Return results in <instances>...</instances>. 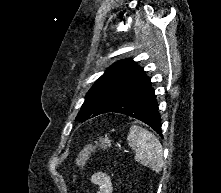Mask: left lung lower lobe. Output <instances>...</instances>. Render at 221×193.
I'll use <instances>...</instances> for the list:
<instances>
[{
    "mask_svg": "<svg viewBox=\"0 0 221 193\" xmlns=\"http://www.w3.org/2000/svg\"><path fill=\"white\" fill-rule=\"evenodd\" d=\"M109 112L136 118L162 135L155 90L152 88L150 78L145 74L127 86L103 113Z\"/></svg>",
    "mask_w": 221,
    "mask_h": 193,
    "instance_id": "0a47b994",
    "label": "left lung lower lobe"
}]
</instances>
